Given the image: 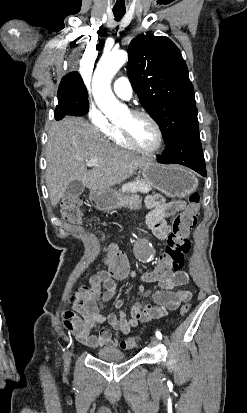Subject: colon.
Returning <instances> with one entry per match:
<instances>
[{
  "mask_svg": "<svg viewBox=\"0 0 247 413\" xmlns=\"http://www.w3.org/2000/svg\"><path fill=\"white\" fill-rule=\"evenodd\" d=\"M200 206V195L193 192L188 198V208L179 213L172 222L173 230L167 235V245L163 259L152 267L147 268L144 275H137L134 272V264H129L126 252L119 249L115 244L104 242L99 248L100 257L106 261L110 271L117 277L136 275L142 282L151 281L154 277L165 275L171 265H180L184 258V253L189 250L190 228L197 225ZM83 203L77 196L66 195L60 204L62 218L69 224H81L83 222ZM191 305L182 304L179 308V316L183 317L189 313ZM138 342L137 338H129L120 342L121 349H128Z\"/></svg>",
  "mask_w": 247,
  "mask_h": 413,
  "instance_id": "obj_1",
  "label": "colon"
}]
</instances>
